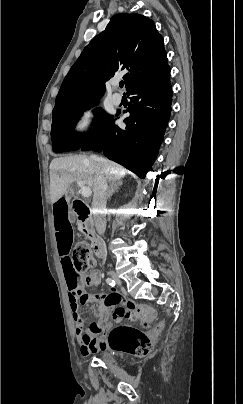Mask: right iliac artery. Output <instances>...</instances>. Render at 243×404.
<instances>
[{
  "instance_id": "right-iliac-artery-1",
  "label": "right iliac artery",
  "mask_w": 243,
  "mask_h": 404,
  "mask_svg": "<svg viewBox=\"0 0 243 404\" xmlns=\"http://www.w3.org/2000/svg\"><path fill=\"white\" fill-rule=\"evenodd\" d=\"M107 284H109L110 286L114 287L115 286V281L111 278H107L106 279Z\"/></svg>"
}]
</instances>
